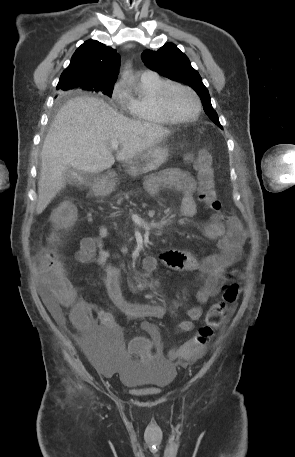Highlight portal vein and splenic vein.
Segmentation results:
<instances>
[{
	"label": "portal vein and splenic vein",
	"instance_id": "1",
	"mask_svg": "<svg viewBox=\"0 0 295 457\" xmlns=\"http://www.w3.org/2000/svg\"><path fill=\"white\" fill-rule=\"evenodd\" d=\"M118 147H119V143H118L117 141H113V142L111 143V148H112L113 150H117Z\"/></svg>",
	"mask_w": 295,
	"mask_h": 457
}]
</instances>
